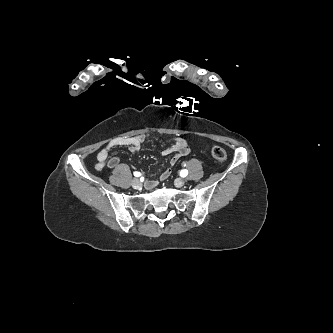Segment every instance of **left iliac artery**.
Here are the masks:
<instances>
[{
  "mask_svg": "<svg viewBox=\"0 0 333 333\" xmlns=\"http://www.w3.org/2000/svg\"><path fill=\"white\" fill-rule=\"evenodd\" d=\"M187 174H188V171H187L186 169H183V170H181V172H180V176H181V177H186Z\"/></svg>",
  "mask_w": 333,
  "mask_h": 333,
  "instance_id": "obj_1",
  "label": "left iliac artery"
}]
</instances>
